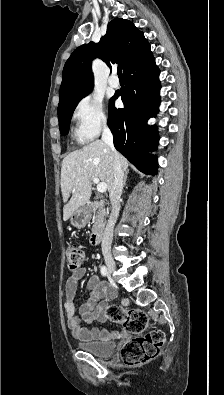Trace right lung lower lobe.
Returning a JSON list of instances; mask_svg holds the SVG:
<instances>
[{
    "label": "right lung lower lobe",
    "mask_w": 224,
    "mask_h": 395,
    "mask_svg": "<svg viewBox=\"0 0 224 395\" xmlns=\"http://www.w3.org/2000/svg\"><path fill=\"white\" fill-rule=\"evenodd\" d=\"M126 85L110 100L108 126L114 136V146L140 171L154 175L156 157L148 151L156 149V128L147 120L158 112L160 103L159 70L149 50L124 72ZM122 96L124 108H115L114 102Z\"/></svg>",
    "instance_id": "98d812e1"
}]
</instances>
